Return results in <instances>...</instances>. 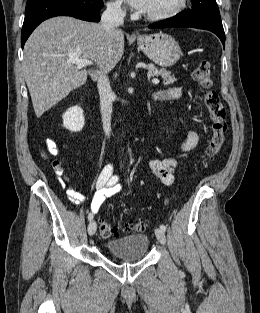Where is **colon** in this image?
<instances>
[{"label":"colon","mask_w":260,"mask_h":313,"mask_svg":"<svg viewBox=\"0 0 260 313\" xmlns=\"http://www.w3.org/2000/svg\"><path fill=\"white\" fill-rule=\"evenodd\" d=\"M192 77L203 89V100L209 113L211 135L206 148V158L211 161L219 154L225 140L227 112L218 92L213 87L210 63L206 60L199 61L192 70ZM48 148L50 152H54L56 145L51 142ZM145 227V224L140 221H129L122 226L101 222L99 233L101 237L109 238L119 236L121 233L141 232Z\"/></svg>","instance_id":"colon-1"}]
</instances>
